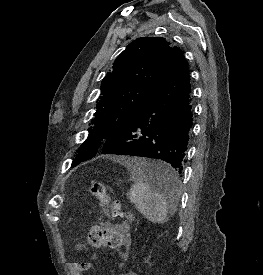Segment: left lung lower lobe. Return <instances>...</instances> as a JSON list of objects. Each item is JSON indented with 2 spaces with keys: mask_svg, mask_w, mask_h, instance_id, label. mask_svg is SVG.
<instances>
[{
  "mask_svg": "<svg viewBox=\"0 0 263 275\" xmlns=\"http://www.w3.org/2000/svg\"><path fill=\"white\" fill-rule=\"evenodd\" d=\"M192 121L190 73L178 49L165 77L144 106L120 133L103 144L100 151L167 162L171 171L147 169L144 174L170 195L178 173L183 171Z\"/></svg>",
  "mask_w": 263,
  "mask_h": 275,
  "instance_id": "0a47b994",
  "label": "left lung lower lobe"
}]
</instances>
